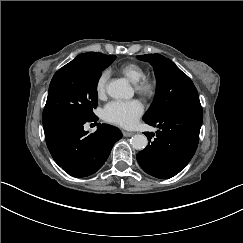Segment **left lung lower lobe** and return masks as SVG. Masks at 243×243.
I'll return each mask as SVG.
<instances>
[{
	"mask_svg": "<svg viewBox=\"0 0 243 243\" xmlns=\"http://www.w3.org/2000/svg\"><path fill=\"white\" fill-rule=\"evenodd\" d=\"M202 121L201 106L183 105L148 123L157 127L158 131L154 141L137 154L141 168L160 179L178 174L195 154ZM145 134L150 140L149 133Z\"/></svg>",
	"mask_w": 243,
	"mask_h": 243,
	"instance_id": "left-lung-lower-lobe-1",
	"label": "left lung lower lobe"
}]
</instances>
